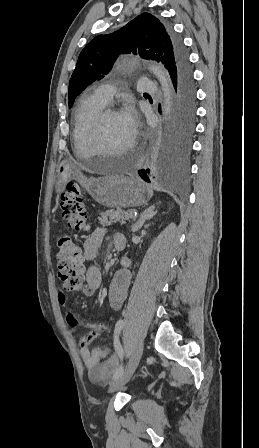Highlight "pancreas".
I'll return each mask as SVG.
<instances>
[{"label":"pancreas","mask_w":259,"mask_h":448,"mask_svg":"<svg viewBox=\"0 0 259 448\" xmlns=\"http://www.w3.org/2000/svg\"><path fill=\"white\" fill-rule=\"evenodd\" d=\"M101 218H98L99 224L101 226H110V224H116V222H124L127 217H132L129 212H124V210H107V212H102L100 214Z\"/></svg>","instance_id":"1"}]
</instances>
